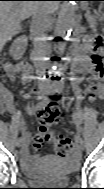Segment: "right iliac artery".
<instances>
[{"instance_id":"right-iliac-artery-1","label":"right iliac artery","mask_w":104,"mask_h":189,"mask_svg":"<svg viewBox=\"0 0 104 189\" xmlns=\"http://www.w3.org/2000/svg\"><path fill=\"white\" fill-rule=\"evenodd\" d=\"M56 89H52L51 91V95H54L56 93ZM49 101L48 97L43 98L33 109V112L37 111V110H41L42 108H44L47 104V102ZM16 137H19V134H16ZM25 136H20V140H24Z\"/></svg>"}]
</instances>
